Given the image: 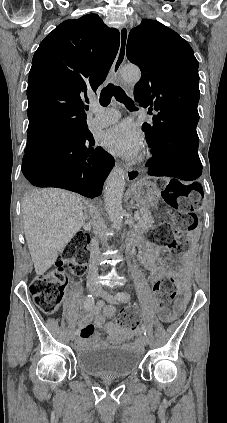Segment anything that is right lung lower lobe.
<instances>
[{
  "label": "right lung lower lobe",
  "mask_w": 227,
  "mask_h": 423,
  "mask_svg": "<svg viewBox=\"0 0 227 423\" xmlns=\"http://www.w3.org/2000/svg\"><path fill=\"white\" fill-rule=\"evenodd\" d=\"M94 144L88 129L73 132L25 153L22 172L33 186L63 188L94 198L114 166L113 157Z\"/></svg>",
  "instance_id": "98d812e1"
}]
</instances>
